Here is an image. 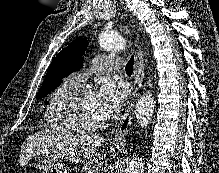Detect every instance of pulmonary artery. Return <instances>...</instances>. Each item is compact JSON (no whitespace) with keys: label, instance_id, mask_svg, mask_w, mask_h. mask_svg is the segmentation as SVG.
Masks as SVG:
<instances>
[{"label":"pulmonary artery","instance_id":"obj_1","mask_svg":"<svg viewBox=\"0 0 219 173\" xmlns=\"http://www.w3.org/2000/svg\"><path fill=\"white\" fill-rule=\"evenodd\" d=\"M122 59L118 56H106L101 55L93 59L91 62V68L89 72L77 71L72 73L68 80L78 86H81L88 73L91 72H110V71H117L121 68Z\"/></svg>","mask_w":219,"mask_h":173}]
</instances>
